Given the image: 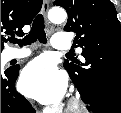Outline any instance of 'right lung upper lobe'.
I'll use <instances>...</instances> for the list:
<instances>
[{
  "label": "right lung upper lobe",
  "mask_w": 121,
  "mask_h": 113,
  "mask_svg": "<svg viewBox=\"0 0 121 113\" xmlns=\"http://www.w3.org/2000/svg\"><path fill=\"white\" fill-rule=\"evenodd\" d=\"M41 6L42 0H1V32L24 34L22 27L32 22ZM5 42L1 36V52Z\"/></svg>",
  "instance_id": "obj_1"
}]
</instances>
